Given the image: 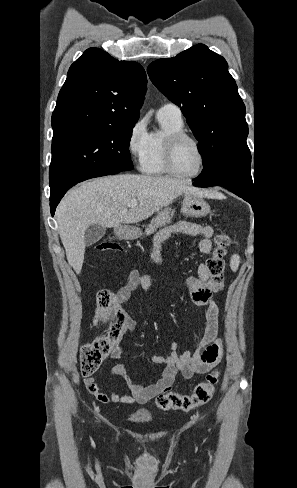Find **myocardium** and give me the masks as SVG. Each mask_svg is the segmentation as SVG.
Instances as JSON below:
<instances>
[{
  "mask_svg": "<svg viewBox=\"0 0 297 488\" xmlns=\"http://www.w3.org/2000/svg\"><path fill=\"white\" fill-rule=\"evenodd\" d=\"M184 141H191L192 143H194V145L197 147L200 154L199 167L192 174H182L175 167L176 150L178 146ZM206 160H207L206 151L203 145L201 144V142L196 137L184 131H181V132L171 134L165 139L164 148H163V164L167 172L170 173L171 175L185 180L196 178L204 171Z\"/></svg>",
  "mask_w": 297,
  "mask_h": 488,
  "instance_id": "myocardium-1",
  "label": "myocardium"
}]
</instances>
